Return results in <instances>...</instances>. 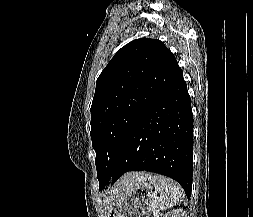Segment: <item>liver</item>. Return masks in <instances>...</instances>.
<instances>
[{"label": "liver", "mask_w": 253, "mask_h": 217, "mask_svg": "<svg viewBox=\"0 0 253 217\" xmlns=\"http://www.w3.org/2000/svg\"><path fill=\"white\" fill-rule=\"evenodd\" d=\"M148 178L144 172H130L120 178V180L104 196L105 211L110 212L115 199L123 196L126 192L133 190ZM107 217V216H105Z\"/></svg>", "instance_id": "obj_1"}]
</instances>
